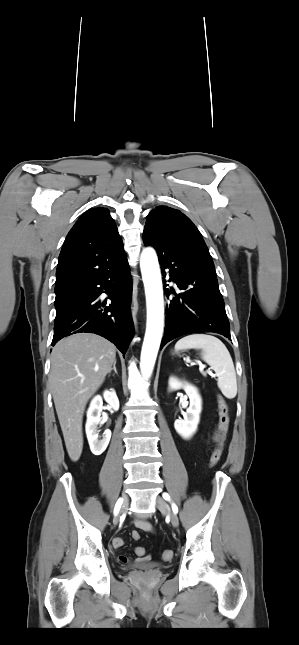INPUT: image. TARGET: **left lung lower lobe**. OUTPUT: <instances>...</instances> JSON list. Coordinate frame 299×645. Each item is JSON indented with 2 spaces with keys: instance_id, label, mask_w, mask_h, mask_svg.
<instances>
[{
  "instance_id": "0a47b994",
  "label": "left lung lower lobe",
  "mask_w": 299,
  "mask_h": 645,
  "mask_svg": "<svg viewBox=\"0 0 299 645\" xmlns=\"http://www.w3.org/2000/svg\"><path fill=\"white\" fill-rule=\"evenodd\" d=\"M158 254L164 278L177 284L181 293L167 306L162 347L169 341L190 333L214 332L231 340L223 297L218 287L215 267L208 248L182 236L165 239L146 238ZM167 296L170 291L166 289Z\"/></svg>"
}]
</instances>
